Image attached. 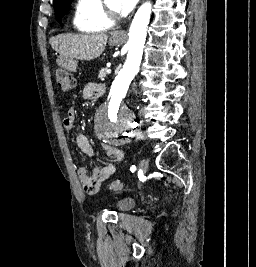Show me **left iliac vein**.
Returning a JSON list of instances; mask_svg holds the SVG:
<instances>
[{"mask_svg":"<svg viewBox=\"0 0 256 267\" xmlns=\"http://www.w3.org/2000/svg\"><path fill=\"white\" fill-rule=\"evenodd\" d=\"M139 168L142 170V172H146L148 169V160L143 158L140 162H139Z\"/></svg>","mask_w":256,"mask_h":267,"instance_id":"4c4485c4","label":"left iliac vein"}]
</instances>
